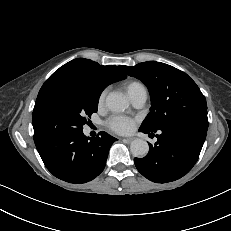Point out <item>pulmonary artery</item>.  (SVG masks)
Returning <instances> with one entry per match:
<instances>
[{
    "mask_svg": "<svg viewBox=\"0 0 231 231\" xmlns=\"http://www.w3.org/2000/svg\"><path fill=\"white\" fill-rule=\"evenodd\" d=\"M146 92H140L131 98V101L135 107H142L146 101Z\"/></svg>",
    "mask_w": 231,
    "mask_h": 231,
    "instance_id": "e3ab8cb5",
    "label": "pulmonary artery"
}]
</instances>
